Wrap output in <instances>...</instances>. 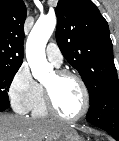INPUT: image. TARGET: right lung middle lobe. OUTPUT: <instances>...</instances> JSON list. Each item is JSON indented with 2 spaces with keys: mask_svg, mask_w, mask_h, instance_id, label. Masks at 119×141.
<instances>
[{
  "mask_svg": "<svg viewBox=\"0 0 119 141\" xmlns=\"http://www.w3.org/2000/svg\"><path fill=\"white\" fill-rule=\"evenodd\" d=\"M19 67L0 66V105L10 106L7 91Z\"/></svg>",
  "mask_w": 119,
  "mask_h": 141,
  "instance_id": "right-lung-middle-lobe-1",
  "label": "right lung middle lobe"
}]
</instances>
